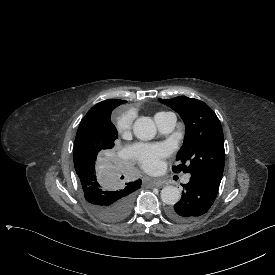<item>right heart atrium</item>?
Segmentation results:
<instances>
[{
    "label": "right heart atrium",
    "mask_w": 275,
    "mask_h": 275,
    "mask_svg": "<svg viewBox=\"0 0 275 275\" xmlns=\"http://www.w3.org/2000/svg\"><path fill=\"white\" fill-rule=\"evenodd\" d=\"M131 122H132L131 116L121 118L118 121L117 126H116L119 134H125L126 132H128L131 127Z\"/></svg>",
    "instance_id": "1"
}]
</instances>
